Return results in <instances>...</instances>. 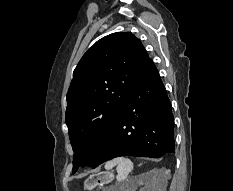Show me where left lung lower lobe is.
I'll return each mask as SVG.
<instances>
[{
    "mask_svg": "<svg viewBox=\"0 0 233 191\" xmlns=\"http://www.w3.org/2000/svg\"><path fill=\"white\" fill-rule=\"evenodd\" d=\"M170 100L153 61L148 58L121 106L115 125L91 165L119 156L161 157L174 153Z\"/></svg>",
    "mask_w": 233,
    "mask_h": 191,
    "instance_id": "0a47b994",
    "label": "left lung lower lobe"
}]
</instances>
